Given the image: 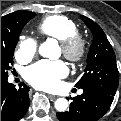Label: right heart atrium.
I'll return each mask as SVG.
<instances>
[{
  "label": "right heart atrium",
  "instance_id": "1",
  "mask_svg": "<svg viewBox=\"0 0 121 121\" xmlns=\"http://www.w3.org/2000/svg\"><path fill=\"white\" fill-rule=\"evenodd\" d=\"M37 41L31 37L22 38L15 51V57L23 62L31 60L37 53Z\"/></svg>",
  "mask_w": 121,
  "mask_h": 121
}]
</instances>
